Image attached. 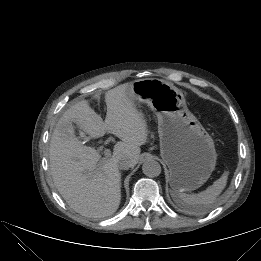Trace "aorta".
Returning <instances> with one entry per match:
<instances>
[{
    "label": "aorta",
    "instance_id": "762f6f07",
    "mask_svg": "<svg viewBox=\"0 0 261 261\" xmlns=\"http://www.w3.org/2000/svg\"><path fill=\"white\" fill-rule=\"evenodd\" d=\"M142 170L148 177H157L161 173V165L156 160L150 159L143 163Z\"/></svg>",
    "mask_w": 261,
    "mask_h": 261
}]
</instances>
